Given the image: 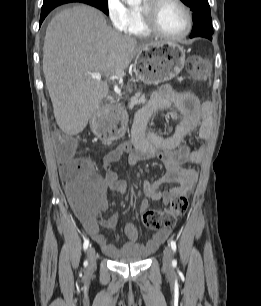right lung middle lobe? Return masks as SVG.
<instances>
[{"label": "right lung middle lobe", "mask_w": 261, "mask_h": 306, "mask_svg": "<svg viewBox=\"0 0 261 306\" xmlns=\"http://www.w3.org/2000/svg\"><path fill=\"white\" fill-rule=\"evenodd\" d=\"M73 1H66V0H44L43 6L41 10L49 9V8H55L61 4L70 3ZM80 2L89 4L91 6H94L101 11H103L105 14L108 15V3L107 0H81Z\"/></svg>", "instance_id": "right-lung-middle-lobe-1"}]
</instances>
